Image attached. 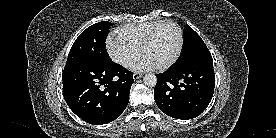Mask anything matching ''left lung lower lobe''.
<instances>
[{
	"label": "left lung lower lobe",
	"instance_id": "obj_1",
	"mask_svg": "<svg viewBox=\"0 0 276 138\" xmlns=\"http://www.w3.org/2000/svg\"><path fill=\"white\" fill-rule=\"evenodd\" d=\"M154 99L159 109L176 119H192L209 105L215 86L213 59L170 67L157 75Z\"/></svg>",
	"mask_w": 276,
	"mask_h": 138
}]
</instances>
